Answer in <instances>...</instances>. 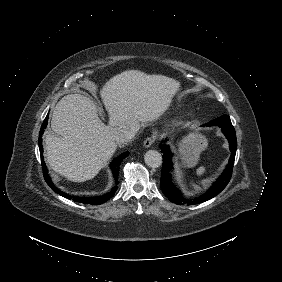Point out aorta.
<instances>
[{
	"label": "aorta",
	"mask_w": 282,
	"mask_h": 282,
	"mask_svg": "<svg viewBox=\"0 0 282 282\" xmlns=\"http://www.w3.org/2000/svg\"><path fill=\"white\" fill-rule=\"evenodd\" d=\"M144 161L150 167H158L162 163V157L156 150H148L144 154Z\"/></svg>",
	"instance_id": "obj_1"
}]
</instances>
